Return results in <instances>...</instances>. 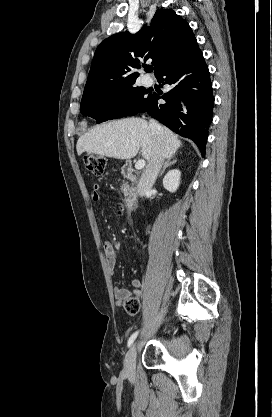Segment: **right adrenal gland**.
<instances>
[{
	"mask_svg": "<svg viewBox=\"0 0 272 417\" xmlns=\"http://www.w3.org/2000/svg\"><path fill=\"white\" fill-rule=\"evenodd\" d=\"M177 162V160L171 161V158H167L166 162L164 163L163 169L160 171L158 177L162 176L165 172L166 168L170 167L171 165H174Z\"/></svg>",
	"mask_w": 272,
	"mask_h": 417,
	"instance_id": "obj_1",
	"label": "right adrenal gland"
}]
</instances>
